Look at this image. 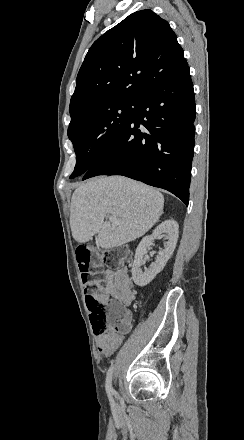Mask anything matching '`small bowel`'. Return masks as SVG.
Wrapping results in <instances>:
<instances>
[{
	"mask_svg": "<svg viewBox=\"0 0 244 440\" xmlns=\"http://www.w3.org/2000/svg\"><path fill=\"white\" fill-rule=\"evenodd\" d=\"M102 274L103 283L95 293L86 296V301L92 297L96 300H119V303L124 307L133 304L135 301L134 284L127 267H121L117 270L106 269ZM123 341L124 338H113V335H108L107 331L96 336V346L100 357L109 358L112 356Z\"/></svg>",
	"mask_w": 244,
	"mask_h": 440,
	"instance_id": "c3829d8e",
	"label": "small bowel"
}]
</instances>
